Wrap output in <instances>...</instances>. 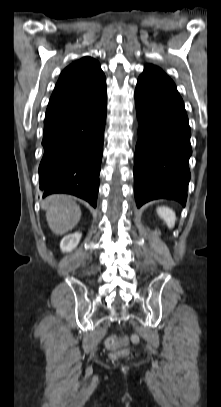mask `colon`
<instances>
[{
    "instance_id": "obj_1",
    "label": "colon",
    "mask_w": 221,
    "mask_h": 407,
    "mask_svg": "<svg viewBox=\"0 0 221 407\" xmlns=\"http://www.w3.org/2000/svg\"><path fill=\"white\" fill-rule=\"evenodd\" d=\"M131 341L134 343L138 342V337L133 335L131 336ZM120 342L126 344L128 343V339L124 338L121 341H119L117 338L115 337H109L106 342L105 345L107 347V349L113 351L112 357L113 358H121V357H126L129 354V350L128 349H121V350H117Z\"/></svg>"
}]
</instances>
